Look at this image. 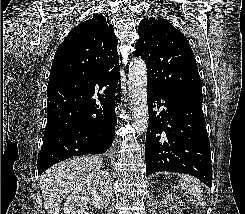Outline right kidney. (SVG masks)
Returning <instances> with one entry per match:
<instances>
[{"instance_id": "obj_1", "label": "right kidney", "mask_w": 245, "mask_h": 214, "mask_svg": "<svg viewBox=\"0 0 245 214\" xmlns=\"http://www.w3.org/2000/svg\"><path fill=\"white\" fill-rule=\"evenodd\" d=\"M91 194V200L86 197ZM112 195V178L107 171L95 170L76 186L64 204V214H90L87 203L97 209L108 206ZM87 209V210H86Z\"/></svg>"}]
</instances>
